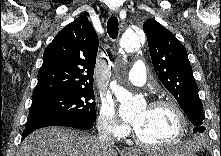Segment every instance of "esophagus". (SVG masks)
<instances>
[{
	"label": "esophagus",
	"mask_w": 221,
	"mask_h": 156,
	"mask_svg": "<svg viewBox=\"0 0 221 156\" xmlns=\"http://www.w3.org/2000/svg\"><path fill=\"white\" fill-rule=\"evenodd\" d=\"M118 13L117 10L111 12V15H116ZM126 156H134L131 152H126Z\"/></svg>",
	"instance_id": "obj_1"
}]
</instances>
